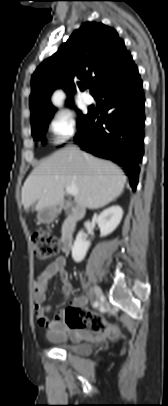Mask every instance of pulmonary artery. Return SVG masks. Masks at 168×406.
Returning a JSON list of instances; mask_svg holds the SVG:
<instances>
[{
    "mask_svg": "<svg viewBox=\"0 0 168 406\" xmlns=\"http://www.w3.org/2000/svg\"><path fill=\"white\" fill-rule=\"evenodd\" d=\"M83 100L87 105H90L94 102V98L92 95H90L89 93H85L83 95Z\"/></svg>",
    "mask_w": 168,
    "mask_h": 406,
    "instance_id": "obj_1",
    "label": "pulmonary artery"
}]
</instances>
